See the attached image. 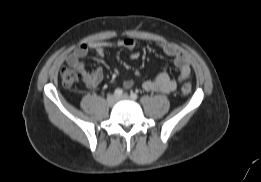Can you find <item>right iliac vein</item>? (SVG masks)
Wrapping results in <instances>:
<instances>
[{
    "label": "right iliac vein",
    "mask_w": 261,
    "mask_h": 182,
    "mask_svg": "<svg viewBox=\"0 0 261 182\" xmlns=\"http://www.w3.org/2000/svg\"><path fill=\"white\" fill-rule=\"evenodd\" d=\"M116 102H117V97H116L115 95H109V96L107 97V104H108L109 106L115 105Z\"/></svg>",
    "instance_id": "obj_1"
}]
</instances>
